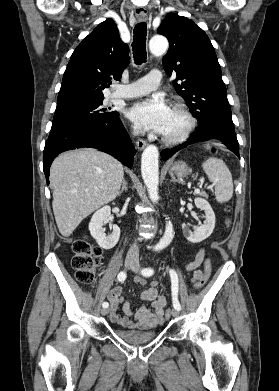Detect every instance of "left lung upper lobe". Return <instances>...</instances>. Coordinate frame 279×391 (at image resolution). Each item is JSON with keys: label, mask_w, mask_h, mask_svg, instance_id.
Segmentation results:
<instances>
[{"label": "left lung upper lobe", "mask_w": 279, "mask_h": 391, "mask_svg": "<svg viewBox=\"0 0 279 391\" xmlns=\"http://www.w3.org/2000/svg\"><path fill=\"white\" fill-rule=\"evenodd\" d=\"M158 33L170 43L163 67L169 76L176 74L174 88L197 118L199 128L207 123L234 128L221 68L206 33L192 20L174 13L162 21Z\"/></svg>", "instance_id": "1"}]
</instances>
